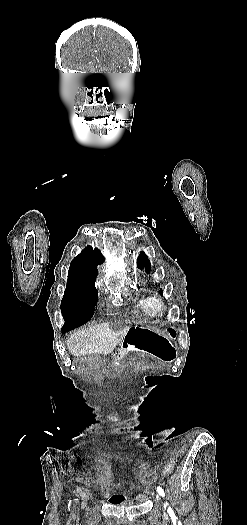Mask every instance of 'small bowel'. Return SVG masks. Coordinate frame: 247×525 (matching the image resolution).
I'll return each instance as SVG.
<instances>
[{
    "instance_id": "small-bowel-1",
    "label": "small bowel",
    "mask_w": 247,
    "mask_h": 525,
    "mask_svg": "<svg viewBox=\"0 0 247 525\" xmlns=\"http://www.w3.org/2000/svg\"><path fill=\"white\" fill-rule=\"evenodd\" d=\"M175 464V459L170 460V462L165 466L164 472L169 471ZM121 498L119 496L112 497V502L118 504Z\"/></svg>"
}]
</instances>
